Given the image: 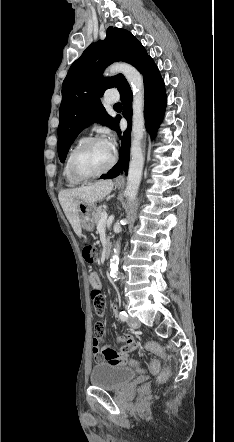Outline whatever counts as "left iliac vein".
<instances>
[{
    "mask_svg": "<svg viewBox=\"0 0 234 442\" xmlns=\"http://www.w3.org/2000/svg\"><path fill=\"white\" fill-rule=\"evenodd\" d=\"M128 325L131 328H138V327H140V321L136 317H129Z\"/></svg>",
    "mask_w": 234,
    "mask_h": 442,
    "instance_id": "obj_1",
    "label": "left iliac vein"
}]
</instances>
